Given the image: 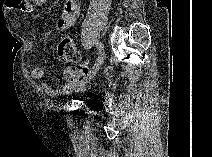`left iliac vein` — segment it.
Instances as JSON below:
<instances>
[{"label": "left iliac vein", "mask_w": 212, "mask_h": 157, "mask_svg": "<svg viewBox=\"0 0 212 157\" xmlns=\"http://www.w3.org/2000/svg\"><path fill=\"white\" fill-rule=\"evenodd\" d=\"M105 59H106V54H105V52H103L99 55L93 69L91 70L88 77L86 78V80L84 82L85 84L89 83L94 78V76L96 75L99 68L104 64Z\"/></svg>", "instance_id": "left-iliac-vein-1"}]
</instances>
